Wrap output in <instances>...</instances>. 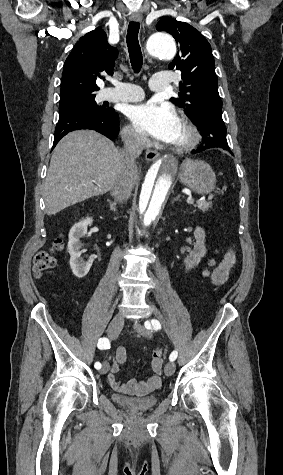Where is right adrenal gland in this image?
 <instances>
[{"instance_id": "1", "label": "right adrenal gland", "mask_w": 283, "mask_h": 475, "mask_svg": "<svg viewBox=\"0 0 283 475\" xmlns=\"http://www.w3.org/2000/svg\"><path fill=\"white\" fill-rule=\"evenodd\" d=\"M109 202L110 210H116V202H111V200H107Z\"/></svg>"}]
</instances>
